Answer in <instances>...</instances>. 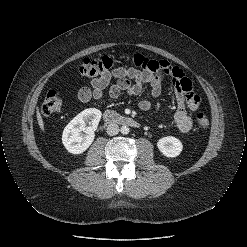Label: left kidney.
I'll list each match as a JSON object with an SVG mask.
<instances>
[{"label": "left kidney", "mask_w": 247, "mask_h": 247, "mask_svg": "<svg viewBox=\"0 0 247 247\" xmlns=\"http://www.w3.org/2000/svg\"><path fill=\"white\" fill-rule=\"evenodd\" d=\"M157 147L166 157H177L183 149L181 141L173 136L163 137L158 140Z\"/></svg>", "instance_id": "5707ae66"}]
</instances>
